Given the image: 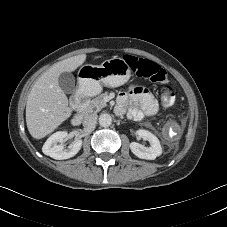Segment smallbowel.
Masks as SVG:
<instances>
[{
	"instance_id": "obj_1",
	"label": "small bowel",
	"mask_w": 227,
	"mask_h": 227,
	"mask_svg": "<svg viewBox=\"0 0 227 227\" xmlns=\"http://www.w3.org/2000/svg\"><path fill=\"white\" fill-rule=\"evenodd\" d=\"M117 111L127 109L129 117L140 120L144 116H151L158 112L159 106L149 90L142 85L130 86L118 96Z\"/></svg>"
}]
</instances>
